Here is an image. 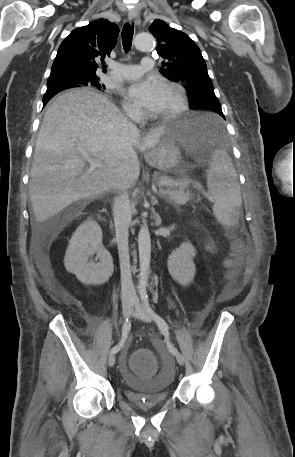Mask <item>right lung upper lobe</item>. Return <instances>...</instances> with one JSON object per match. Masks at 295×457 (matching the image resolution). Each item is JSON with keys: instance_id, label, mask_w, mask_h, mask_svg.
I'll use <instances>...</instances> for the list:
<instances>
[{"instance_id": "1", "label": "right lung upper lobe", "mask_w": 295, "mask_h": 457, "mask_svg": "<svg viewBox=\"0 0 295 457\" xmlns=\"http://www.w3.org/2000/svg\"><path fill=\"white\" fill-rule=\"evenodd\" d=\"M119 34L116 24L99 19L74 29L61 43L53 62L47 84L84 85L97 77L98 68L105 69L104 58L110 56Z\"/></svg>"}]
</instances>
